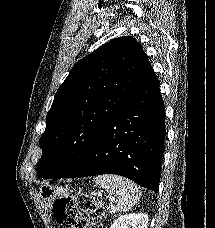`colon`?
<instances>
[{
  "label": "colon",
  "mask_w": 215,
  "mask_h": 228,
  "mask_svg": "<svg viewBox=\"0 0 215 228\" xmlns=\"http://www.w3.org/2000/svg\"><path fill=\"white\" fill-rule=\"evenodd\" d=\"M85 212L90 219L82 217ZM106 206L103 201L89 194H80L76 200L60 197L53 201V214L63 228H99V219L104 217Z\"/></svg>",
  "instance_id": "5ec220e1"
}]
</instances>
